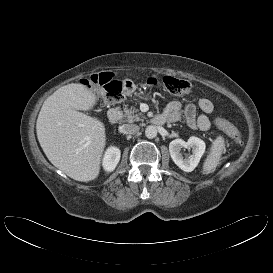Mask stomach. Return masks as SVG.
<instances>
[{"label":"stomach","mask_w":273,"mask_h":273,"mask_svg":"<svg viewBox=\"0 0 273 273\" xmlns=\"http://www.w3.org/2000/svg\"><path fill=\"white\" fill-rule=\"evenodd\" d=\"M132 94H133V92H131V93H130V95H132ZM134 95H137V94H136V93H134ZM141 98H142V99H147V98H148V96H147V95H143V96H141Z\"/></svg>","instance_id":"obj_1"}]
</instances>
